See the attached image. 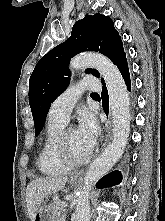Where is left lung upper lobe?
Returning <instances> with one entry per match:
<instances>
[{
    "mask_svg": "<svg viewBox=\"0 0 165 221\" xmlns=\"http://www.w3.org/2000/svg\"><path fill=\"white\" fill-rule=\"evenodd\" d=\"M83 51L100 52L115 65L125 56L121 37L110 17L86 15L74 24L69 39L53 48L37 63L29 80V104L36 136L42 130L51 103L70 83V59ZM85 72L100 76L96 69H86Z\"/></svg>",
    "mask_w": 165,
    "mask_h": 221,
    "instance_id": "obj_1",
    "label": "left lung upper lobe"
}]
</instances>
